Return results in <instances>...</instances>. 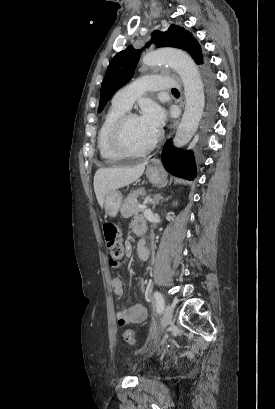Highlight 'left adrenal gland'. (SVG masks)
<instances>
[{"label":"left adrenal gland","mask_w":275,"mask_h":409,"mask_svg":"<svg viewBox=\"0 0 275 409\" xmlns=\"http://www.w3.org/2000/svg\"><path fill=\"white\" fill-rule=\"evenodd\" d=\"M160 198L161 196H158V194H156V196H154V198H151L150 200L151 205H153V207H155V205H159Z\"/></svg>","instance_id":"1"}]
</instances>
